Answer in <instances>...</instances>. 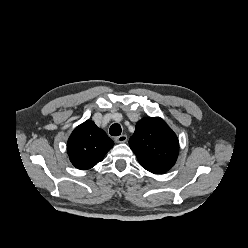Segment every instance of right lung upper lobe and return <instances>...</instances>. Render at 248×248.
Segmentation results:
<instances>
[{"label":"right lung upper lobe","instance_id":"1","mask_svg":"<svg viewBox=\"0 0 248 248\" xmlns=\"http://www.w3.org/2000/svg\"><path fill=\"white\" fill-rule=\"evenodd\" d=\"M113 145L114 142L102 129L93 121L87 120L70 135L67 152L76 168L87 170L101 162Z\"/></svg>","mask_w":248,"mask_h":248}]
</instances>
